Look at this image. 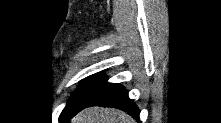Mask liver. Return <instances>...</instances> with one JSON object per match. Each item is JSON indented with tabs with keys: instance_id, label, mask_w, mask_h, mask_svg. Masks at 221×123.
I'll list each match as a JSON object with an SVG mask.
<instances>
[{
	"instance_id": "1",
	"label": "liver",
	"mask_w": 221,
	"mask_h": 123,
	"mask_svg": "<svg viewBox=\"0 0 221 123\" xmlns=\"http://www.w3.org/2000/svg\"><path fill=\"white\" fill-rule=\"evenodd\" d=\"M71 123H135V120L120 110L93 107L81 111Z\"/></svg>"
}]
</instances>
